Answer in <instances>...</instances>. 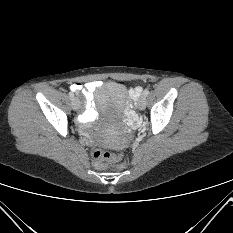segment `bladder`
<instances>
[{
	"instance_id": "obj_1",
	"label": "bladder",
	"mask_w": 233,
	"mask_h": 233,
	"mask_svg": "<svg viewBox=\"0 0 233 233\" xmlns=\"http://www.w3.org/2000/svg\"><path fill=\"white\" fill-rule=\"evenodd\" d=\"M127 100V89L118 82H109L102 85L95 96L97 107L110 116H121L126 108ZM100 141L109 147H115L122 143L120 139L108 136L100 138Z\"/></svg>"
}]
</instances>
